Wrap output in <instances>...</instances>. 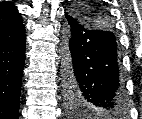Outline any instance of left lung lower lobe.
Masks as SVG:
<instances>
[{"label":"left lung lower lobe","mask_w":142,"mask_h":119,"mask_svg":"<svg viewBox=\"0 0 142 119\" xmlns=\"http://www.w3.org/2000/svg\"><path fill=\"white\" fill-rule=\"evenodd\" d=\"M63 56L66 101L74 113L105 119L125 115L120 100L117 43L107 30H94L66 14ZM69 41V42H68Z\"/></svg>","instance_id":"1"}]
</instances>
